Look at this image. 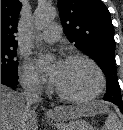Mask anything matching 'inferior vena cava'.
I'll use <instances>...</instances> for the list:
<instances>
[{
    "label": "inferior vena cava",
    "instance_id": "obj_1",
    "mask_svg": "<svg viewBox=\"0 0 123 130\" xmlns=\"http://www.w3.org/2000/svg\"><path fill=\"white\" fill-rule=\"evenodd\" d=\"M23 93L25 98L26 106L29 108L31 105L42 101L41 89L39 83L34 80H26L23 82Z\"/></svg>",
    "mask_w": 123,
    "mask_h": 130
}]
</instances>
